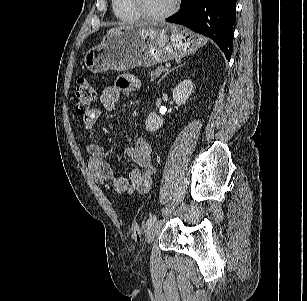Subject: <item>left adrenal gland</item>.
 <instances>
[{
  "label": "left adrenal gland",
  "instance_id": "1",
  "mask_svg": "<svg viewBox=\"0 0 307 301\" xmlns=\"http://www.w3.org/2000/svg\"><path fill=\"white\" fill-rule=\"evenodd\" d=\"M180 66H182V65H179V66L173 68L172 70H170L169 72L165 73V75L159 80V82H160L167 74H169L171 71H173L174 69H177V68L180 67Z\"/></svg>",
  "mask_w": 307,
  "mask_h": 301
}]
</instances>
